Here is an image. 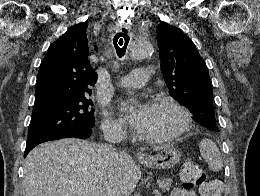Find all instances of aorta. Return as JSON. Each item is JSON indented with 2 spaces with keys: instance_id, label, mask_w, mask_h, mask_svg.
<instances>
[{
  "instance_id": "aorta-1",
  "label": "aorta",
  "mask_w": 260,
  "mask_h": 196,
  "mask_svg": "<svg viewBox=\"0 0 260 196\" xmlns=\"http://www.w3.org/2000/svg\"><path fill=\"white\" fill-rule=\"evenodd\" d=\"M152 53L153 47L151 44L140 42L133 47L130 56L133 60H141L150 56Z\"/></svg>"
}]
</instances>
